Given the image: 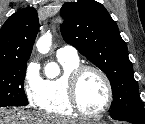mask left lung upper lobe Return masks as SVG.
<instances>
[{
	"instance_id": "1",
	"label": "left lung upper lobe",
	"mask_w": 145,
	"mask_h": 124,
	"mask_svg": "<svg viewBox=\"0 0 145 124\" xmlns=\"http://www.w3.org/2000/svg\"><path fill=\"white\" fill-rule=\"evenodd\" d=\"M64 40L100 68L108 77L113 93L111 117L145 124V110L134 79L126 43L105 7L93 0L65 3Z\"/></svg>"
}]
</instances>
